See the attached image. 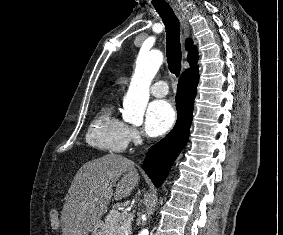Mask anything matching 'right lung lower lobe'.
Masks as SVG:
<instances>
[{"mask_svg": "<svg viewBox=\"0 0 283 235\" xmlns=\"http://www.w3.org/2000/svg\"><path fill=\"white\" fill-rule=\"evenodd\" d=\"M198 81L197 72L180 77L176 96L177 122L165 138L149 149L144 159V170L157 188L188 140Z\"/></svg>", "mask_w": 283, "mask_h": 235, "instance_id": "obj_1", "label": "right lung lower lobe"}]
</instances>
